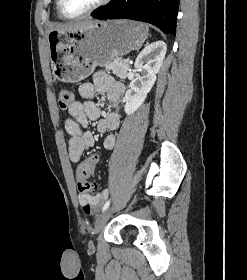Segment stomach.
<instances>
[{"instance_id": "obj_1", "label": "stomach", "mask_w": 247, "mask_h": 280, "mask_svg": "<svg viewBox=\"0 0 247 280\" xmlns=\"http://www.w3.org/2000/svg\"><path fill=\"white\" fill-rule=\"evenodd\" d=\"M146 24L132 20L97 21L74 32L50 31L47 41L53 75L62 82H79L97 66L141 48Z\"/></svg>"}]
</instances>
